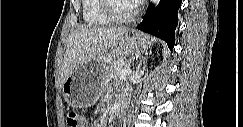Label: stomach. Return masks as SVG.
Returning a JSON list of instances; mask_svg holds the SVG:
<instances>
[{
	"mask_svg": "<svg viewBox=\"0 0 243 127\" xmlns=\"http://www.w3.org/2000/svg\"><path fill=\"white\" fill-rule=\"evenodd\" d=\"M147 39L139 32L119 38L115 47L105 55L82 64L62 84V93L69 106L87 108L99 99L107 81L111 62L119 57L146 52Z\"/></svg>",
	"mask_w": 243,
	"mask_h": 127,
	"instance_id": "1",
	"label": "stomach"
}]
</instances>
